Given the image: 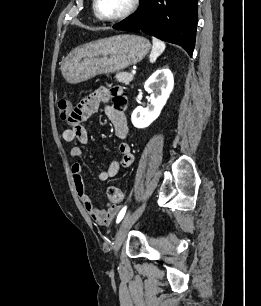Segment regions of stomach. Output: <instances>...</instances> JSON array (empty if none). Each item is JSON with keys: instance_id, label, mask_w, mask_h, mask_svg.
I'll use <instances>...</instances> for the list:
<instances>
[{"instance_id": "0dacf381", "label": "stomach", "mask_w": 261, "mask_h": 306, "mask_svg": "<svg viewBox=\"0 0 261 306\" xmlns=\"http://www.w3.org/2000/svg\"><path fill=\"white\" fill-rule=\"evenodd\" d=\"M150 47L146 38L132 34L100 39L74 49L63 61L61 72L67 82L80 83L138 63Z\"/></svg>"}]
</instances>
